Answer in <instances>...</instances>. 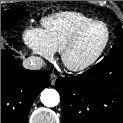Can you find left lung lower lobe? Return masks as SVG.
Wrapping results in <instances>:
<instances>
[{"mask_svg": "<svg viewBox=\"0 0 123 123\" xmlns=\"http://www.w3.org/2000/svg\"><path fill=\"white\" fill-rule=\"evenodd\" d=\"M63 123H123V50L77 77H59Z\"/></svg>", "mask_w": 123, "mask_h": 123, "instance_id": "0a47b994", "label": "left lung lower lobe"}]
</instances>
